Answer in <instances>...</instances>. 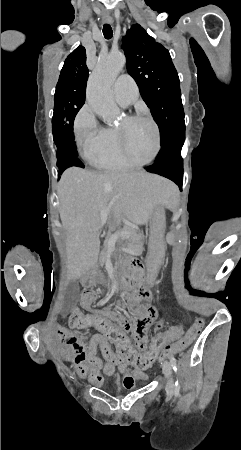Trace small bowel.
<instances>
[{"mask_svg":"<svg viewBox=\"0 0 241 450\" xmlns=\"http://www.w3.org/2000/svg\"><path fill=\"white\" fill-rule=\"evenodd\" d=\"M90 284L91 283H85L82 286L85 290L81 295V305L85 309H90L91 311H100L102 316L107 317V324H118V333H127L129 329H132L134 347H147L148 340L145 325H153L155 329H159L161 325H167L169 323V318L167 316H154L156 306L153 298L127 299L128 307H135L137 310L140 307H145V310H134L132 312L134 324H131L125 319L130 315L128 309H121L120 312L111 309H95L94 303L98 298V295L94 290L90 289ZM102 302H104V300H102ZM94 326L95 325H80L76 328ZM56 332L63 336L67 331L62 327ZM104 335L105 333H97L86 343L84 342L83 337L74 333H69L66 339V346L62 353L74 362L76 370L80 375L88 376L90 382L95 385L101 383L103 378L102 373L111 376L116 371L123 375V386L126 389L135 388L136 379L147 380L148 376L146 373L138 371L137 369H130V361H122L121 356H112L113 348L109 347L108 342H105ZM54 344L57 346L59 343L56 341ZM98 351L101 352L106 362L97 356Z\"/></svg>","mask_w":241,"mask_h":450,"instance_id":"c3829d8e","label":"small bowel"}]
</instances>
